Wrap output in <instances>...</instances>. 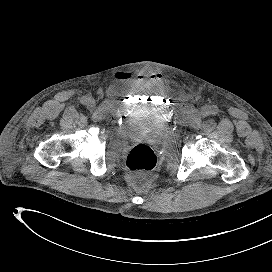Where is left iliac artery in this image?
<instances>
[{
  "label": "left iliac artery",
  "instance_id": "1",
  "mask_svg": "<svg viewBox=\"0 0 272 272\" xmlns=\"http://www.w3.org/2000/svg\"><path fill=\"white\" fill-rule=\"evenodd\" d=\"M218 108L216 107V106H213L212 107V110H211V113L213 114V115H216L217 113H218Z\"/></svg>",
  "mask_w": 272,
  "mask_h": 272
}]
</instances>
